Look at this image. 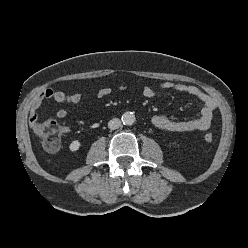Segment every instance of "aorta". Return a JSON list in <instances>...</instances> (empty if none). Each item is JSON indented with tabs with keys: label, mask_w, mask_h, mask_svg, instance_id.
Segmentation results:
<instances>
[{
	"label": "aorta",
	"mask_w": 248,
	"mask_h": 248,
	"mask_svg": "<svg viewBox=\"0 0 248 248\" xmlns=\"http://www.w3.org/2000/svg\"><path fill=\"white\" fill-rule=\"evenodd\" d=\"M124 125H132L135 123L136 118L132 112H125L121 118Z\"/></svg>",
	"instance_id": "762f6f07"
}]
</instances>
